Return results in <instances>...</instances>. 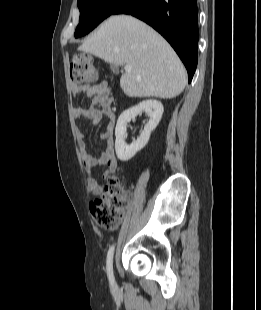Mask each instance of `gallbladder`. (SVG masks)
Returning a JSON list of instances; mask_svg holds the SVG:
<instances>
[{"label": "gallbladder", "mask_w": 261, "mask_h": 310, "mask_svg": "<svg viewBox=\"0 0 261 310\" xmlns=\"http://www.w3.org/2000/svg\"><path fill=\"white\" fill-rule=\"evenodd\" d=\"M111 69L114 71V72H118V69H117V67L116 66H114V65H111Z\"/></svg>", "instance_id": "bac80fb5"}]
</instances>
